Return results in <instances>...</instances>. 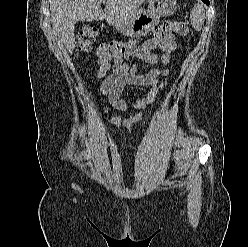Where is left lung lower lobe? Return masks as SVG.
<instances>
[{
    "label": "left lung lower lobe",
    "mask_w": 248,
    "mask_h": 247,
    "mask_svg": "<svg viewBox=\"0 0 248 247\" xmlns=\"http://www.w3.org/2000/svg\"><path fill=\"white\" fill-rule=\"evenodd\" d=\"M206 5H209V0H202Z\"/></svg>",
    "instance_id": "1"
}]
</instances>
